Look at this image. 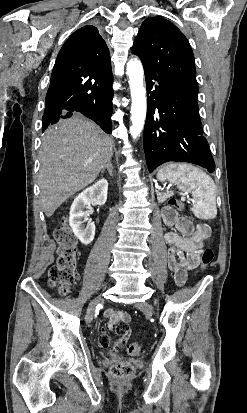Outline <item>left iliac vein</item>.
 I'll return each mask as SVG.
<instances>
[{
    "instance_id": "obj_1",
    "label": "left iliac vein",
    "mask_w": 247,
    "mask_h": 413,
    "mask_svg": "<svg viewBox=\"0 0 247 413\" xmlns=\"http://www.w3.org/2000/svg\"><path fill=\"white\" fill-rule=\"evenodd\" d=\"M137 307L147 314H151L153 311V307L149 303H141Z\"/></svg>"
}]
</instances>
